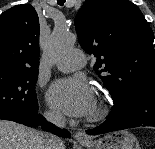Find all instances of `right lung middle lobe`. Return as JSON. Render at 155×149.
<instances>
[{
	"mask_svg": "<svg viewBox=\"0 0 155 149\" xmlns=\"http://www.w3.org/2000/svg\"><path fill=\"white\" fill-rule=\"evenodd\" d=\"M37 71L0 70V116L29 119L38 111Z\"/></svg>",
	"mask_w": 155,
	"mask_h": 149,
	"instance_id": "dd1d6c3e",
	"label": "right lung middle lobe"
}]
</instances>
